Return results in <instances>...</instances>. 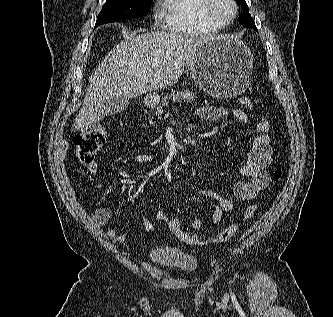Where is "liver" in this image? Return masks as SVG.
I'll list each match as a JSON object with an SVG mask.
<instances>
[{
	"label": "liver",
	"mask_w": 333,
	"mask_h": 317,
	"mask_svg": "<svg viewBox=\"0 0 333 317\" xmlns=\"http://www.w3.org/2000/svg\"><path fill=\"white\" fill-rule=\"evenodd\" d=\"M213 37L156 31L130 35L99 63L89 79L86 95L73 124L91 131L104 116V104L113 96L135 98L172 86L198 49Z\"/></svg>",
	"instance_id": "1"
}]
</instances>
